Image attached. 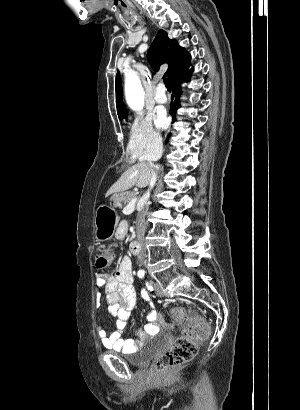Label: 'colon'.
<instances>
[{
	"instance_id": "obj_1",
	"label": "colon",
	"mask_w": 300,
	"mask_h": 410,
	"mask_svg": "<svg viewBox=\"0 0 300 410\" xmlns=\"http://www.w3.org/2000/svg\"><path fill=\"white\" fill-rule=\"evenodd\" d=\"M94 263L98 269L110 267L114 263L113 251L110 248L103 249L95 256ZM183 313V308L172 310L173 323L180 325L185 333L156 359L155 368L162 377H167L171 371L191 361L199 346L210 335V327L204 320L197 317L191 310L187 318L183 316Z\"/></svg>"
}]
</instances>
